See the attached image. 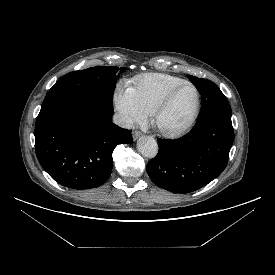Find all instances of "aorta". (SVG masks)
<instances>
[{
	"mask_svg": "<svg viewBox=\"0 0 275 275\" xmlns=\"http://www.w3.org/2000/svg\"><path fill=\"white\" fill-rule=\"evenodd\" d=\"M138 151L147 158H154L158 153V144L153 137L142 136L137 142Z\"/></svg>",
	"mask_w": 275,
	"mask_h": 275,
	"instance_id": "1",
	"label": "aorta"
}]
</instances>
